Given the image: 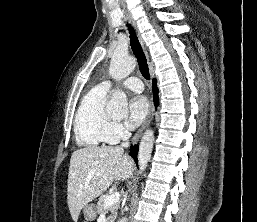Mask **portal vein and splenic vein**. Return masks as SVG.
Returning <instances> with one entry per match:
<instances>
[{
  "label": "portal vein and splenic vein",
  "instance_id": "portal-vein-and-splenic-vein-1",
  "mask_svg": "<svg viewBox=\"0 0 257 222\" xmlns=\"http://www.w3.org/2000/svg\"><path fill=\"white\" fill-rule=\"evenodd\" d=\"M120 199V194L119 193H113L109 196L106 197L105 202H104V206L108 207L111 206L115 203H117Z\"/></svg>",
  "mask_w": 257,
  "mask_h": 222
}]
</instances>
